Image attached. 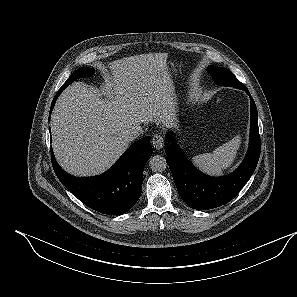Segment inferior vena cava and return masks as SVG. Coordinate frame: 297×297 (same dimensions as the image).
Segmentation results:
<instances>
[{
    "label": "inferior vena cava",
    "instance_id": "1",
    "mask_svg": "<svg viewBox=\"0 0 297 297\" xmlns=\"http://www.w3.org/2000/svg\"><path fill=\"white\" fill-rule=\"evenodd\" d=\"M142 132V127L139 124H134L128 126L123 133L127 140L132 141L136 139Z\"/></svg>",
    "mask_w": 297,
    "mask_h": 297
}]
</instances>
